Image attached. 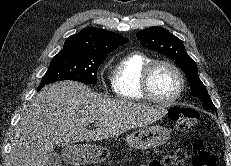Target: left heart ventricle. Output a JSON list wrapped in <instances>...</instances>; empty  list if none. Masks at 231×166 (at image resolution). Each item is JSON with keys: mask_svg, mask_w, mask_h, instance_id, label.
<instances>
[{"mask_svg": "<svg viewBox=\"0 0 231 166\" xmlns=\"http://www.w3.org/2000/svg\"><path fill=\"white\" fill-rule=\"evenodd\" d=\"M178 87V77L171 68L159 65L154 69L151 76V88L157 97L168 99L177 92Z\"/></svg>", "mask_w": 231, "mask_h": 166, "instance_id": "1", "label": "left heart ventricle"}]
</instances>
